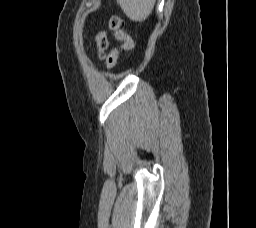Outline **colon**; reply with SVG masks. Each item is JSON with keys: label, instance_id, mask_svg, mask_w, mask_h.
<instances>
[{"label": "colon", "instance_id": "5ec220e1", "mask_svg": "<svg viewBox=\"0 0 256 228\" xmlns=\"http://www.w3.org/2000/svg\"><path fill=\"white\" fill-rule=\"evenodd\" d=\"M109 28L114 33V37L121 42V45L114 48L108 55L105 54L108 45L106 34L100 31L95 37L98 57L105 59L106 68L108 70L115 67L122 51L129 50L133 46L131 37L123 29V20L119 15L114 14L111 16Z\"/></svg>", "mask_w": 256, "mask_h": 228}]
</instances>
